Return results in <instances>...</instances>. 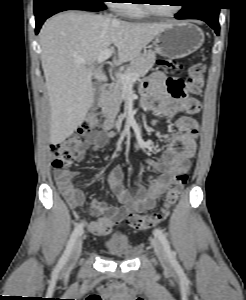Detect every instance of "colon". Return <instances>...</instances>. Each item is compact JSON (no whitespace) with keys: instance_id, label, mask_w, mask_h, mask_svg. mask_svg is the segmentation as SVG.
Segmentation results:
<instances>
[{"instance_id":"obj_1","label":"colon","mask_w":246,"mask_h":300,"mask_svg":"<svg viewBox=\"0 0 246 300\" xmlns=\"http://www.w3.org/2000/svg\"><path fill=\"white\" fill-rule=\"evenodd\" d=\"M161 64L170 71H181L183 65L175 59H165ZM205 67L201 63H194L188 70V78L185 82V90L189 94H198L204 86ZM199 104L191 108V113L199 112ZM100 124L98 113H90L84 120L79 132L65 140L53 143L50 147L52 155V166L54 169H65L72 161L83 153V137L85 134L96 129ZM188 174L186 171L178 172L171 180L165 196V208L154 214H129L126 221L134 229L147 230L164 221L168 215V208L174 205L180 198L187 183Z\"/></svg>"}]
</instances>
